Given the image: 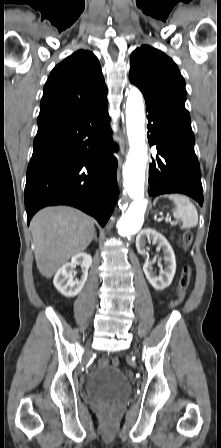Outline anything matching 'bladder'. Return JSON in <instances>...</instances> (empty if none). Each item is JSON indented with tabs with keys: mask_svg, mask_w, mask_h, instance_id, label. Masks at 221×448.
<instances>
[{
	"mask_svg": "<svg viewBox=\"0 0 221 448\" xmlns=\"http://www.w3.org/2000/svg\"><path fill=\"white\" fill-rule=\"evenodd\" d=\"M84 389L91 398L116 401L130 395L131 383L119 368L102 366L88 376Z\"/></svg>",
	"mask_w": 221,
	"mask_h": 448,
	"instance_id": "obj_1",
	"label": "bladder"
}]
</instances>
